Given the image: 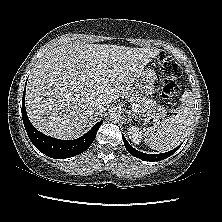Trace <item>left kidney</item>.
Segmentation results:
<instances>
[{
	"mask_svg": "<svg viewBox=\"0 0 222 222\" xmlns=\"http://www.w3.org/2000/svg\"><path fill=\"white\" fill-rule=\"evenodd\" d=\"M128 136L134 144H139L141 142L142 134L139 128L136 126H131L128 128Z\"/></svg>",
	"mask_w": 222,
	"mask_h": 222,
	"instance_id": "obj_1",
	"label": "left kidney"
}]
</instances>
